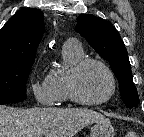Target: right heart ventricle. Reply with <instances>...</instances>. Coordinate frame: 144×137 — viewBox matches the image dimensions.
Listing matches in <instances>:
<instances>
[{
	"label": "right heart ventricle",
	"instance_id": "obj_1",
	"mask_svg": "<svg viewBox=\"0 0 144 137\" xmlns=\"http://www.w3.org/2000/svg\"><path fill=\"white\" fill-rule=\"evenodd\" d=\"M62 67L52 69L49 73L51 84L58 103L69 100L67 89V76L69 70L81 59L84 58V51L76 41H67L62 49Z\"/></svg>",
	"mask_w": 144,
	"mask_h": 137
}]
</instances>
